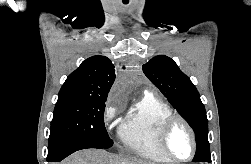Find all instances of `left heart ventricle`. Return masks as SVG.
Returning <instances> with one entry per match:
<instances>
[{"label": "left heart ventricle", "mask_w": 251, "mask_h": 164, "mask_svg": "<svg viewBox=\"0 0 251 164\" xmlns=\"http://www.w3.org/2000/svg\"><path fill=\"white\" fill-rule=\"evenodd\" d=\"M167 145L171 154L177 158H187L191 154V138L186 128L181 124L174 126L168 137Z\"/></svg>", "instance_id": "1"}]
</instances>
